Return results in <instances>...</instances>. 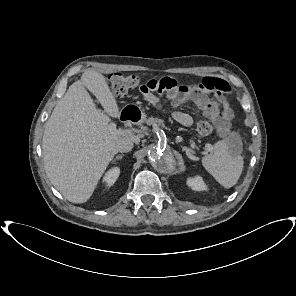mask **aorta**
Here are the masks:
<instances>
[{
  "label": "aorta",
  "instance_id": "762f6f07",
  "mask_svg": "<svg viewBox=\"0 0 296 296\" xmlns=\"http://www.w3.org/2000/svg\"><path fill=\"white\" fill-rule=\"evenodd\" d=\"M148 160L153 168L160 172L169 171L175 165L173 152L164 146L150 148L148 151Z\"/></svg>",
  "mask_w": 296,
  "mask_h": 296
}]
</instances>
